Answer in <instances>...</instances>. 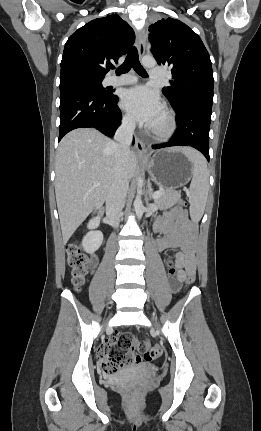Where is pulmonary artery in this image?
I'll return each instance as SVG.
<instances>
[{
  "mask_svg": "<svg viewBox=\"0 0 261 431\" xmlns=\"http://www.w3.org/2000/svg\"><path fill=\"white\" fill-rule=\"evenodd\" d=\"M164 74H165L164 69L160 68V67H155V68H152L150 70V77L152 79H159V78L163 77ZM136 82H137V78L133 75H130V74H124V75H121L118 77H116V76L110 77L107 80V83L109 85H113V86L134 84Z\"/></svg>",
  "mask_w": 261,
  "mask_h": 431,
  "instance_id": "e3ab8cb5",
  "label": "pulmonary artery"
}]
</instances>
